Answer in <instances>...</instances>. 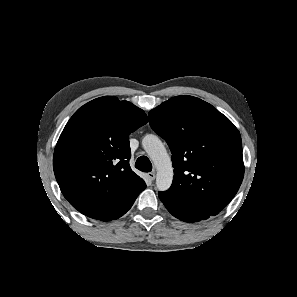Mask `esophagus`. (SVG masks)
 Masks as SVG:
<instances>
[{
    "label": "esophagus",
    "mask_w": 297,
    "mask_h": 297,
    "mask_svg": "<svg viewBox=\"0 0 297 297\" xmlns=\"http://www.w3.org/2000/svg\"><path fill=\"white\" fill-rule=\"evenodd\" d=\"M147 176H148L150 181H153L155 179V177H156L154 172L148 173Z\"/></svg>",
    "instance_id": "34e87169"
}]
</instances>
